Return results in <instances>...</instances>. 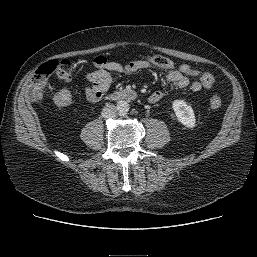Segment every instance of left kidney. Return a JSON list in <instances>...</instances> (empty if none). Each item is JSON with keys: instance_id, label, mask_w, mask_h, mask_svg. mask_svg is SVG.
Returning <instances> with one entry per match:
<instances>
[{"instance_id": "1", "label": "left kidney", "mask_w": 257, "mask_h": 257, "mask_svg": "<svg viewBox=\"0 0 257 257\" xmlns=\"http://www.w3.org/2000/svg\"><path fill=\"white\" fill-rule=\"evenodd\" d=\"M172 108L179 122L184 126L193 128L196 124L194 111L190 105L183 100H175Z\"/></svg>"}]
</instances>
